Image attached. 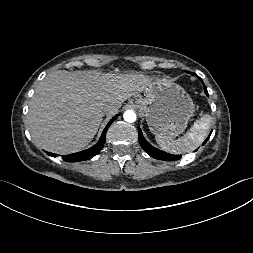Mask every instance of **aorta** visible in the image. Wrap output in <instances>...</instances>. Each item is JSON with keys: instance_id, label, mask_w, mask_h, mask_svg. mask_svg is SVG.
Returning <instances> with one entry per match:
<instances>
[{"instance_id": "aorta-1", "label": "aorta", "mask_w": 253, "mask_h": 253, "mask_svg": "<svg viewBox=\"0 0 253 253\" xmlns=\"http://www.w3.org/2000/svg\"><path fill=\"white\" fill-rule=\"evenodd\" d=\"M124 120L126 122L132 123L136 121V114L134 111L132 110H127L124 112L123 114Z\"/></svg>"}]
</instances>
